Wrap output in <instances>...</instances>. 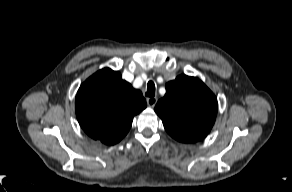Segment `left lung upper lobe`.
Returning a JSON list of instances; mask_svg holds the SVG:
<instances>
[{"mask_svg": "<svg viewBox=\"0 0 292 192\" xmlns=\"http://www.w3.org/2000/svg\"><path fill=\"white\" fill-rule=\"evenodd\" d=\"M154 110L170 136L191 143L202 140L210 132L218 103L198 78L180 75L166 84V94Z\"/></svg>", "mask_w": 292, "mask_h": 192, "instance_id": "left-lung-upper-lobe-1", "label": "left lung upper lobe"}]
</instances>
